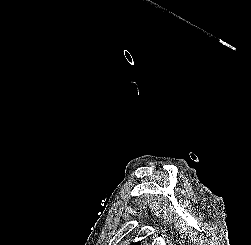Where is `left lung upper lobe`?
Segmentation results:
<instances>
[{"instance_id":"left-lung-upper-lobe-1","label":"left lung upper lobe","mask_w":251,"mask_h":245,"mask_svg":"<svg viewBox=\"0 0 251 245\" xmlns=\"http://www.w3.org/2000/svg\"><path fill=\"white\" fill-rule=\"evenodd\" d=\"M131 245H139V243H132Z\"/></svg>"}]
</instances>
